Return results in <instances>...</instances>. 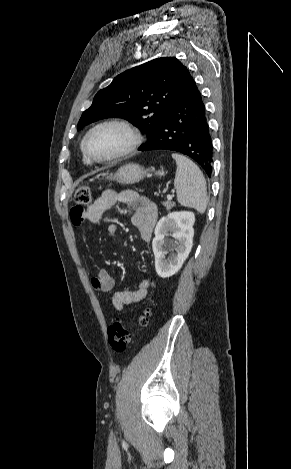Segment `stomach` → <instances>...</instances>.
I'll list each match as a JSON object with an SVG mask.
<instances>
[{
	"label": "stomach",
	"instance_id": "1",
	"mask_svg": "<svg viewBox=\"0 0 291 469\" xmlns=\"http://www.w3.org/2000/svg\"><path fill=\"white\" fill-rule=\"evenodd\" d=\"M163 173L158 171L155 172V175L161 176ZM152 173L150 170L145 169L139 164H126L120 167L114 175H110L108 179L115 180L121 184H134L146 176H151Z\"/></svg>",
	"mask_w": 291,
	"mask_h": 469
}]
</instances>
